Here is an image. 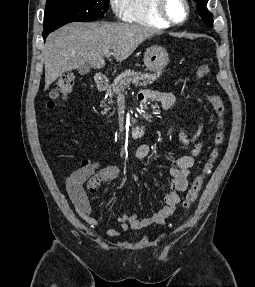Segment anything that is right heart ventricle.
I'll return each mask as SVG.
<instances>
[{"label": "right heart ventricle", "instance_id": "right-heart-ventricle-1", "mask_svg": "<svg viewBox=\"0 0 255 287\" xmlns=\"http://www.w3.org/2000/svg\"><path fill=\"white\" fill-rule=\"evenodd\" d=\"M140 33H149V32H140Z\"/></svg>", "mask_w": 255, "mask_h": 287}]
</instances>
